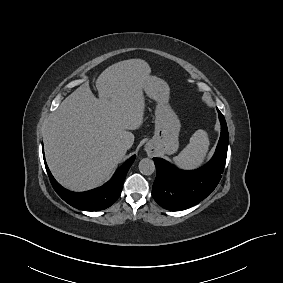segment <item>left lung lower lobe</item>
Masks as SVG:
<instances>
[{"label": "left lung lower lobe", "instance_id": "obj_1", "mask_svg": "<svg viewBox=\"0 0 283 283\" xmlns=\"http://www.w3.org/2000/svg\"><path fill=\"white\" fill-rule=\"evenodd\" d=\"M218 116L221 136L212 159L203 167L184 171L164 159L153 158L157 176L152 187V196L161 207L170 211L190 208L216 188L222 177L228 148L227 124L219 110Z\"/></svg>", "mask_w": 283, "mask_h": 283}]
</instances>
